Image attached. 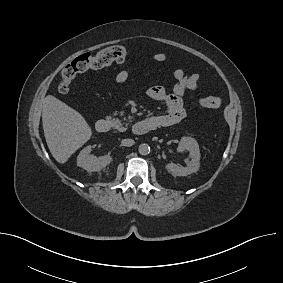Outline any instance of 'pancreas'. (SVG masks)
<instances>
[{"mask_svg": "<svg viewBox=\"0 0 283 283\" xmlns=\"http://www.w3.org/2000/svg\"><path fill=\"white\" fill-rule=\"evenodd\" d=\"M124 120H126V119H124ZM128 121H132V117H128V119H127ZM114 123H115V128L117 129V130H119V131H124L126 128L124 127V125L121 123V120H119V119H115L114 120Z\"/></svg>", "mask_w": 283, "mask_h": 283, "instance_id": "1", "label": "pancreas"}]
</instances>
